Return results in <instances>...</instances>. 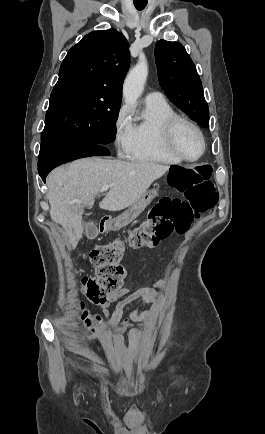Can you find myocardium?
<instances>
[{"label": "myocardium", "mask_w": 265, "mask_h": 434, "mask_svg": "<svg viewBox=\"0 0 265 434\" xmlns=\"http://www.w3.org/2000/svg\"><path fill=\"white\" fill-rule=\"evenodd\" d=\"M182 126H187L191 128L200 138L201 144H202V151L200 155L194 159L186 158L182 155V153L179 150L178 144H177V136L179 135V131ZM166 141L168 144V147L172 154L182 163H197L199 162L205 155L207 150V140L204 136L201 129L198 127L197 124H195L193 121L189 120L188 118L182 117L180 115H176L172 117L167 125V135H166Z\"/></svg>", "instance_id": "obj_1"}]
</instances>
